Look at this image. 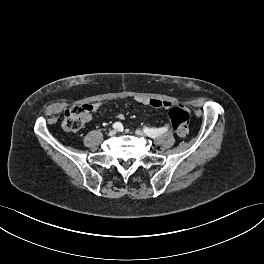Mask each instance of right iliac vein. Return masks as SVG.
<instances>
[{
    "label": "right iliac vein",
    "mask_w": 264,
    "mask_h": 264,
    "mask_svg": "<svg viewBox=\"0 0 264 264\" xmlns=\"http://www.w3.org/2000/svg\"><path fill=\"white\" fill-rule=\"evenodd\" d=\"M116 133H117V130H115V129H113V130H111L110 132H109V136H115L116 135Z\"/></svg>",
    "instance_id": "63e3f726"
}]
</instances>
